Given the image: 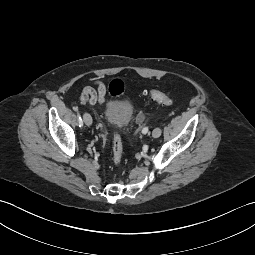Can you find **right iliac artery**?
Masks as SVG:
<instances>
[{
  "label": "right iliac artery",
  "mask_w": 255,
  "mask_h": 255,
  "mask_svg": "<svg viewBox=\"0 0 255 255\" xmlns=\"http://www.w3.org/2000/svg\"><path fill=\"white\" fill-rule=\"evenodd\" d=\"M77 121H78L79 127H82L83 126V121H82V118L79 114L77 115Z\"/></svg>",
  "instance_id": "1"
}]
</instances>
